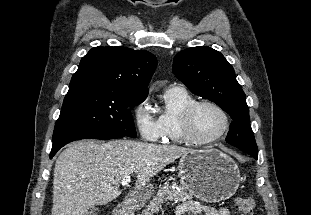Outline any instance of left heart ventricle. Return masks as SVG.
Here are the masks:
<instances>
[{"label": "left heart ventricle", "instance_id": "left-heart-ventricle-1", "mask_svg": "<svg viewBox=\"0 0 311 215\" xmlns=\"http://www.w3.org/2000/svg\"><path fill=\"white\" fill-rule=\"evenodd\" d=\"M195 134L202 139L215 136L223 127V117L214 107L204 105L197 109L193 121Z\"/></svg>", "mask_w": 311, "mask_h": 215}]
</instances>
